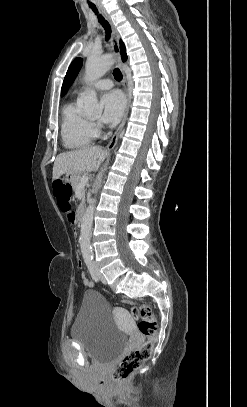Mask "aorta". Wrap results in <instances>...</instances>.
Segmentation results:
<instances>
[{
    "label": "aorta",
    "mask_w": 247,
    "mask_h": 407,
    "mask_svg": "<svg viewBox=\"0 0 247 407\" xmlns=\"http://www.w3.org/2000/svg\"><path fill=\"white\" fill-rule=\"evenodd\" d=\"M114 60L111 55H104L97 57L91 55L85 65V80L87 82H93L101 78L113 65ZM84 113L87 115L97 114L102 111V107L99 105L96 93L94 91H89L82 98ZM96 199L93 198L89 201V206L87 207L85 214L81 223L80 232V247L83 256L91 255V228L93 223L94 209H95Z\"/></svg>",
    "instance_id": "762f6f07"
}]
</instances>
